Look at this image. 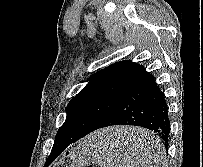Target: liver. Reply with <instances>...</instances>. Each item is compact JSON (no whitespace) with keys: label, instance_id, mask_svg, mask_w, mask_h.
Returning a JSON list of instances; mask_svg holds the SVG:
<instances>
[{"label":"liver","instance_id":"1","mask_svg":"<svg viewBox=\"0 0 203 167\" xmlns=\"http://www.w3.org/2000/svg\"><path fill=\"white\" fill-rule=\"evenodd\" d=\"M102 133L113 139L111 153L114 160L138 167L140 144L150 134L149 131L137 127H112Z\"/></svg>","mask_w":203,"mask_h":167}]
</instances>
